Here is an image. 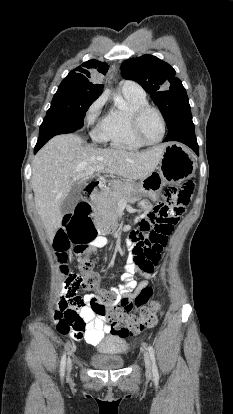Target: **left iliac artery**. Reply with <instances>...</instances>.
<instances>
[{"mask_svg":"<svg viewBox=\"0 0 233 414\" xmlns=\"http://www.w3.org/2000/svg\"><path fill=\"white\" fill-rule=\"evenodd\" d=\"M148 351H149V354H150V357H151V360H152L153 376L157 378L159 376V374H158V368H157V365H156V362H155V352H154L153 347L149 345Z\"/></svg>","mask_w":233,"mask_h":414,"instance_id":"1","label":"left iliac artery"}]
</instances>
